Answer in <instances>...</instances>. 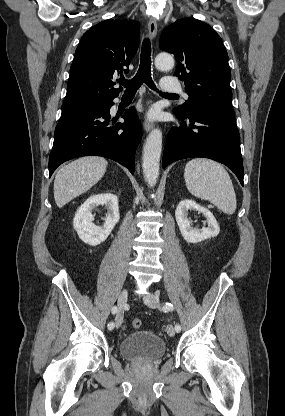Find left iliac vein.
Wrapping results in <instances>:
<instances>
[{
  "mask_svg": "<svg viewBox=\"0 0 285 416\" xmlns=\"http://www.w3.org/2000/svg\"><path fill=\"white\" fill-rule=\"evenodd\" d=\"M144 303L152 309L158 308L159 307V298L157 295L155 294H149L147 296L144 297ZM177 331L174 329V327L172 325H168L167 326V334L170 337H173L175 335Z\"/></svg>",
  "mask_w": 285,
  "mask_h": 416,
  "instance_id": "4c4485c4",
  "label": "left iliac vein"
}]
</instances>
